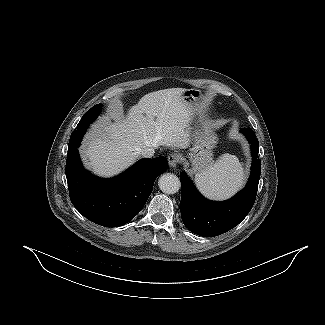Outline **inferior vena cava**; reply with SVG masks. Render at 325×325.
Masks as SVG:
<instances>
[{"label":"inferior vena cava","mask_w":325,"mask_h":325,"mask_svg":"<svg viewBox=\"0 0 325 325\" xmlns=\"http://www.w3.org/2000/svg\"><path fill=\"white\" fill-rule=\"evenodd\" d=\"M154 153H155L154 148L146 147V148H143V149H140L139 150V154L142 155L145 158H151V157H153L154 156Z\"/></svg>","instance_id":"obj_1"}]
</instances>
